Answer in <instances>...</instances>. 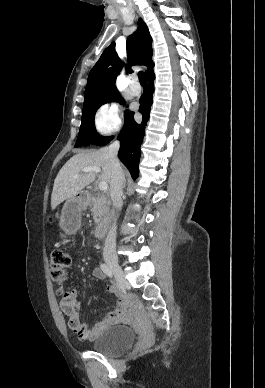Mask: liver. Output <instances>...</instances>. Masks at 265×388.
<instances>
[{
	"mask_svg": "<svg viewBox=\"0 0 265 388\" xmlns=\"http://www.w3.org/2000/svg\"><path fill=\"white\" fill-rule=\"evenodd\" d=\"M108 148H101L97 152H89V154H76L66 162L57 174L53 186L51 196V208L55 210L64 200L75 198L80 194L85 186H89L91 182L96 180V172H88V174H80L83 168L90 166H100L101 174L99 180L101 182H110L111 180V164L107 158ZM78 174V178H74Z\"/></svg>",
	"mask_w": 265,
	"mask_h": 388,
	"instance_id": "6515ba94",
	"label": "liver"
}]
</instances>
